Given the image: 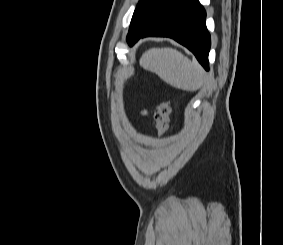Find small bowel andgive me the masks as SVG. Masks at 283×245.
<instances>
[{
	"label": "small bowel",
	"mask_w": 283,
	"mask_h": 245,
	"mask_svg": "<svg viewBox=\"0 0 283 245\" xmlns=\"http://www.w3.org/2000/svg\"><path fill=\"white\" fill-rule=\"evenodd\" d=\"M142 115H144V116H148L147 111H146V110L142 111Z\"/></svg>",
	"instance_id": "obj_1"
}]
</instances>
